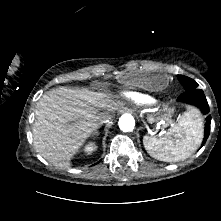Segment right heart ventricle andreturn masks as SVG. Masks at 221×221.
<instances>
[{
    "instance_id": "obj_1",
    "label": "right heart ventricle",
    "mask_w": 221,
    "mask_h": 221,
    "mask_svg": "<svg viewBox=\"0 0 221 221\" xmlns=\"http://www.w3.org/2000/svg\"><path fill=\"white\" fill-rule=\"evenodd\" d=\"M125 95H126L128 98H132V99H136V100L141 99V95L138 94V93L127 92V93H125Z\"/></svg>"
}]
</instances>
